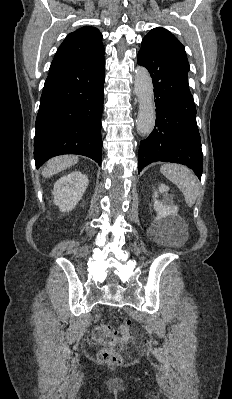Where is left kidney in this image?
<instances>
[{
	"label": "left kidney",
	"mask_w": 232,
	"mask_h": 399,
	"mask_svg": "<svg viewBox=\"0 0 232 399\" xmlns=\"http://www.w3.org/2000/svg\"><path fill=\"white\" fill-rule=\"evenodd\" d=\"M169 192L168 186L160 184L158 192L154 194V209L157 211L154 223L150 227V235L153 239H169V237H184L187 225L178 215L177 205H169L164 201L156 200L158 194Z\"/></svg>",
	"instance_id": "obj_1"
}]
</instances>
